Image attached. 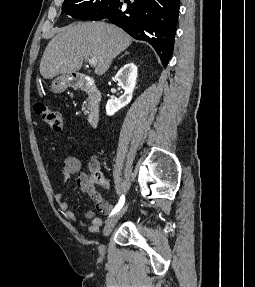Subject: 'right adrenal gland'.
Returning <instances> with one entry per match:
<instances>
[{"label":"right adrenal gland","mask_w":255,"mask_h":287,"mask_svg":"<svg viewBox=\"0 0 255 287\" xmlns=\"http://www.w3.org/2000/svg\"><path fill=\"white\" fill-rule=\"evenodd\" d=\"M126 54H129V52H125V54H123V56H120V58H124V56H126ZM120 58H118V60H120Z\"/></svg>","instance_id":"obj_1"}]
</instances>
